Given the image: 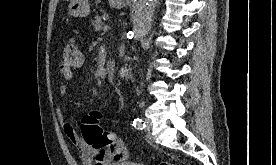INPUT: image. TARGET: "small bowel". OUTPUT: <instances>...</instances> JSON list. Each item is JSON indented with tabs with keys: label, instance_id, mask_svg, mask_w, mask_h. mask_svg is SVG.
Wrapping results in <instances>:
<instances>
[{
	"label": "small bowel",
	"instance_id": "c3829d8e",
	"mask_svg": "<svg viewBox=\"0 0 276 165\" xmlns=\"http://www.w3.org/2000/svg\"><path fill=\"white\" fill-rule=\"evenodd\" d=\"M64 80H70L72 73L61 74ZM67 92L65 85L59 86L60 95L64 96ZM56 116L63 129L64 134L70 142L78 149L80 159L83 165H111L116 162L125 160H116L111 153H102L86 144L79 136L71 119L67 118L60 106L56 107ZM125 148V147H124Z\"/></svg>",
	"mask_w": 276,
	"mask_h": 165
}]
</instances>
